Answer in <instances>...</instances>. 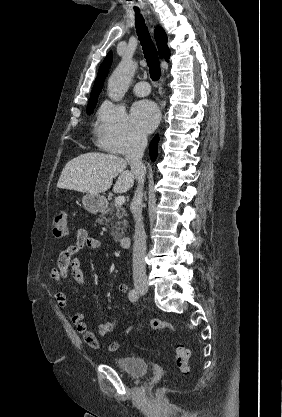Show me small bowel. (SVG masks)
<instances>
[{
  "label": "small bowel",
  "mask_w": 282,
  "mask_h": 417,
  "mask_svg": "<svg viewBox=\"0 0 282 417\" xmlns=\"http://www.w3.org/2000/svg\"><path fill=\"white\" fill-rule=\"evenodd\" d=\"M100 248V241L89 235L86 229H79L77 232V240L74 246L60 252L57 257L55 266L51 270L52 281L59 286L61 281L69 275L78 284L83 285L84 273L81 269L80 255L85 249L97 250ZM119 292L127 294L129 286L125 282H120L117 285ZM54 299L60 308H66L68 305L67 296L63 290L57 288L54 291ZM76 331L81 335L83 341L93 350L101 353H112L117 351L123 339L128 337L134 329V325H130L122 332L121 338L111 339L108 341H101L98 337L88 329L82 313H76L71 318ZM118 326V319L113 317L109 321L101 323L97 326L96 331L98 335L105 336L113 332Z\"/></svg>",
  "instance_id": "1"
}]
</instances>
